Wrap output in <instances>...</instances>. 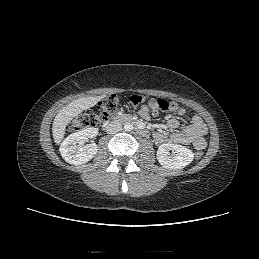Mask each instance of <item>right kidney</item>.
Segmentation results:
<instances>
[{
	"label": "right kidney",
	"instance_id": "1",
	"mask_svg": "<svg viewBox=\"0 0 259 259\" xmlns=\"http://www.w3.org/2000/svg\"><path fill=\"white\" fill-rule=\"evenodd\" d=\"M97 134L98 129L90 127L69 135L60 145L63 159L73 165H81L90 161L97 153V145L95 143L82 145V142Z\"/></svg>",
	"mask_w": 259,
	"mask_h": 259
}]
</instances>
